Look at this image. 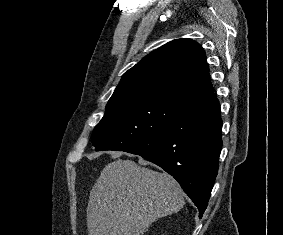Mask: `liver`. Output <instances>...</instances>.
Masks as SVG:
<instances>
[{
    "label": "liver",
    "instance_id": "liver-1",
    "mask_svg": "<svg viewBox=\"0 0 283 235\" xmlns=\"http://www.w3.org/2000/svg\"><path fill=\"white\" fill-rule=\"evenodd\" d=\"M132 160H114L100 173L89 196V235H143L157 219L185 204L178 182Z\"/></svg>",
    "mask_w": 283,
    "mask_h": 235
}]
</instances>
